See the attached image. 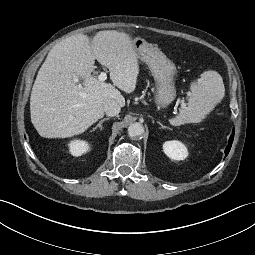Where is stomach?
Wrapping results in <instances>:
<instances>
[{"label":"stomach","instance_id":"obj_1","mask_svg":"<svg viewBox=\"0 0 255 255\" xmlns=\"http://www.w3.org/2000/svg\"><path fill=\"white\" fill-rule=\"evenodd\" d=\"M132 46L137 58L148 65L155 83L154 101L160 108L167 107L176 97L174 78L177 73L175 64L156 46L142 38H135Z\"/></svg>","mask_w":255,"mask_h":255}]
</instances>
